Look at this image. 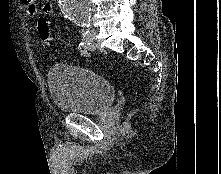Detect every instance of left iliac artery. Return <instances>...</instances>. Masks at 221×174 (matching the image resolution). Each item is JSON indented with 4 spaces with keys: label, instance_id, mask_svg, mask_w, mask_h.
I'll use <instances>...</instances> for the list:
<instances>
[{
    "label": "left iliac artery",
    "instance_id": "obj_1",
    "mask_svg": "<svg viewBox=\"0 0 221 174\" xmlns=\"http://www.w3.org/2000/svg\"><path fill=\"white\" fill-rule=\"evenodd\" d=\"M78 24L82 27L89 28L90 27V20H88V19L83 20V21L78 22ZM86 33H88V31ZM83 45H84V43H80V45H79V48L81 50V54L85 55V56H90L89 53H87V51L85 49H83Z\"/></svg>",
    "mask_w": 221,
    "mask_h": 174
}]
</instances>
